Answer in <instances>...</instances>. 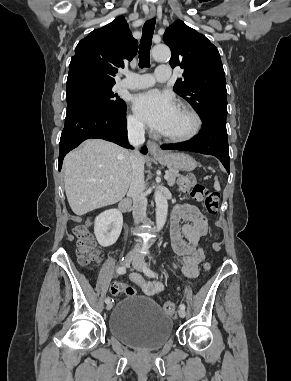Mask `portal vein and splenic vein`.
Returning <instances> with one entry per match:
<instances>
[{
  "mask_svg": "<svg viewBox=\"0 0 291 381\" xmlns=\"http://www.w3.org/2000/svg\"><path fill=\"white\" fill-rule=\"evenodd\" d=\"M165 179H168L169 178V174L166 173L165 176H164Z\"/></svg>",
  "mask_w": 291,
  "mask_h": 381,
  "instance_id": "18ae733b",
  "label": "portal vein and splenic vein"
}]
</instances>
